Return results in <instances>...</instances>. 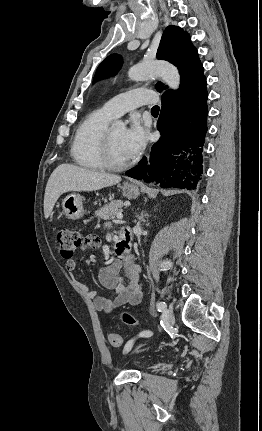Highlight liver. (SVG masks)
Wrapping results in <instances>:
<instances>
[{"instance_id":"6515ba94","label":"liver","mask_w":262,"mask_h":431,"mask_svg":"<svg viewBox=\"0 0 262 431\" xmlns=\"http://www.w3.org/2000/svg\"><path fill=\"white\" fill-rule=\"evenodd\" d=\"M121 177L88 170L72 164H61L51 174L44 195V216L47 219L58 198L71 191H96L118 184Z\"/></svg>"}]
</instances>
